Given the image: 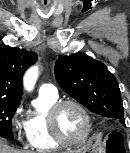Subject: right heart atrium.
<instances>
[{"label":"right heart atrium","instance_id":"d8ad5b80","mask_svg":"<svg viewBox=\"0 0 130 153\" xmlns=\"http://www.w3.org/2000/svg\"><path fill=\"white\" fill-rule=\"evenodd\" d=\"M22 111H23V106L19 105L13 114V122L18 132L26 130V123L21 121Z\"/></svg>","mask_w":130,"mask_h":153}]
</instances>
